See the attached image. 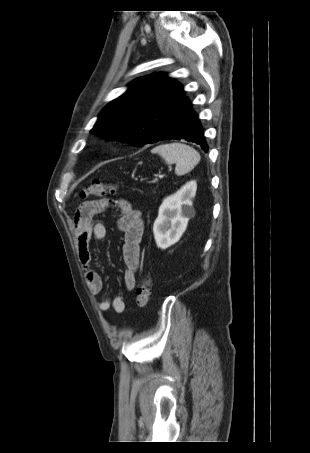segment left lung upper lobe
<instances>
[{
  "mask_svg": "<svg viewBox=\"0 0 310 453\" xmlns=\"http://www.w3.org/2000/svg\"><path fill=\"white\" fill-rule=\"evenodd\" d=\"M183 95L182 85L166 74L138 78L101 111L91 132L140 147L158 142Z\"/></svg>",
  "mask_w": 310,
  "mask_h": 453,
  "instance_id": "left-lung-upper-lobe-1",
  "label": "left lung upper lobe"
}]
</instances>
